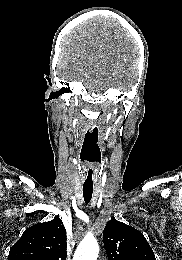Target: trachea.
<instances>
[{
  "label": "trachea",
  "mask_w": 182,
  "mask_h": 260,
  "mask_svg": "<svg viewBox=\"0 0 182 260\" xmlns=\"http://www.w3.org/2000/svg\"><path fill=\"white\" fill-rule=\"evenodd\" d=\"M93 187H83V197L86 204H88L92 198Z\"/></svg>",
  "instance_id": "obj_1"
}]
</instances>
